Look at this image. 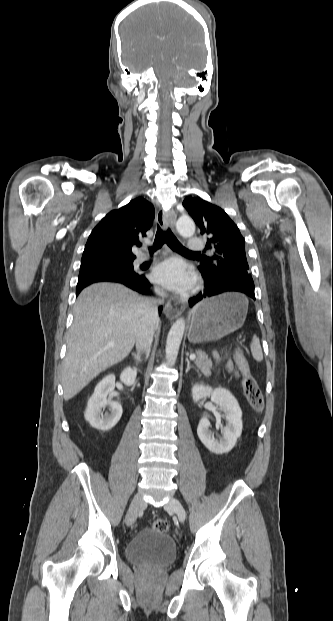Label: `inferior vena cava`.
Instances as JSON below:
<instances>
[{
    "label": "inferior vena cava",
    "mask_w": 333,
    "mask_h": 621,
    "mask_svg": "<svg viewBox=\"0 0 333 621\" xmlns=\"http://www.w3.org/2000/svg\"><path fill=\"white\" fill-rule=\"evenodd\" d=\"M155 293L161 298L144 300V307H145L146 312L150 316V320L145 321L142 324L136 336L137 350L144 351L145 353L147 352L149 353L150 351V347L153 341V335L159 323L157 307L158 305L164 303V298L166 297V293L160 288H156Z\"/></svg>",
    "instance_id": "1"
}]
</instances>
